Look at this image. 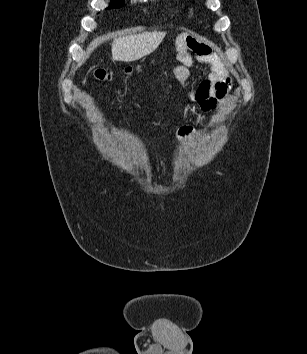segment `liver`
Masks as SVG:
<instances>
[{
  "instance_id": "6515ba94",
  "label": "liver",
  "mask_w": 307,
  "mask_h": 354,
  "mask_svg": "<svg viewBox=\"0 0 307 354\" xmlns=\"http://www.w3.org/2000/svg\"><path fill=\"white\" fill-rule=\"evenodd\" d=\"M164 37L165 32L155 31L116 38L112 43V60L137 61L154 52Z\"/></svg>"
}]
</instances>
